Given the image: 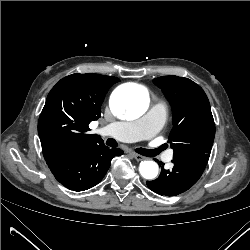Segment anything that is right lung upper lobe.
Masks as SVG:
<instances>
[{"mask_svg": "<svg viewBox=\"0 0 250 250\" xmlns=\"http://www.w3.org/2000/svg\"><path fill=\"white\" fill-rule=\"evenodd\" d=\"M119 79L94 73L61 79L47 96L38 121V134L46 161L69 156L103 140L88 134V125L101 116L109 88Z\"/></svg>", "mask_w": 250, "mask_h": 250, "instance_id": "1", "label": "right lung upper lobe"}]
</instances>
